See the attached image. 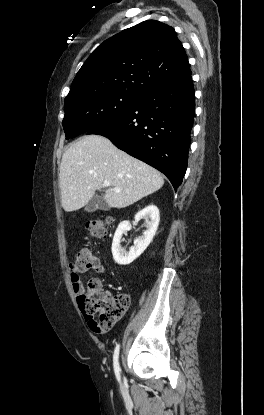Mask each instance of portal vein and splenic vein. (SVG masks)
<instances>
[{"instance_id":"1","label":"portal vein and splenic vein","mask_w":264,"mask_h":415,"mask_svg":"<svg viewBox=\"0 0 264 415\" xmlns=\"http://www.w3.org/2000/svg\"><path fill=\"white\" fill-rule=\"evenodd\" d=\"M108 186H109V182L108 181H104L103 187H108ZM112 190L114 192H120L121 191L119 188H113Z\"/></svg>"}]
</instances>
